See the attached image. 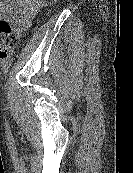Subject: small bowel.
<instances>
[{
    "mask_svg": "<svg viewBox=\"0 0 133 173\" xmlns=\"http://www.w3.org/2000/svg\"><path fill=\"white\" fill-rule=\"evenodd\" d=\"M39 0H0V19L7 18L17 34H22L32 25Z\"/></svg>",
    "mask_w": 133,
    "mask_h": 173,
    "instance_id": "small-bowel-1",
    "label": "small bowel"
}]
</instances>
